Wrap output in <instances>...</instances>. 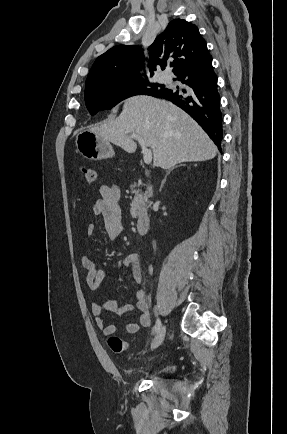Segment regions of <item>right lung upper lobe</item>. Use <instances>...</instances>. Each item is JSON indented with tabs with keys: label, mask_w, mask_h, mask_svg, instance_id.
Instances as JSON below:
<instances>
[{
	"label": "right lung upper lobe",
	"mask_w": 287,
	"mask_h": 434,
	"mask_svg": "<svg viewBox=\"0 0 287 434\" xmlns=\"http://www.w3.org/2000/svg\"><path fill=\"white\" fill-rule=\"evenodd\" d=\"M148 50L151 76L157 69H164L168 61H172V71L177 74L208 51L198 28L182 19L169 22L166 30L157 36ZM144 59L143 49L138 46H115L96 59L86 85L117 78L136 77Z\"/></svg>",
	"instance_id": "1"
}]
</instances>
